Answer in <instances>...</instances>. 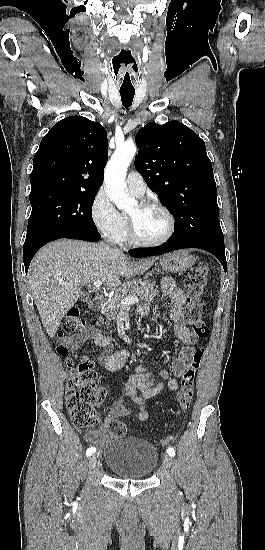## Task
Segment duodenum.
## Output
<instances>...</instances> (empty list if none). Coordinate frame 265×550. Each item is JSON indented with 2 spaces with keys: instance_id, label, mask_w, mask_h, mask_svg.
Masks as SVG:
<instances>
[{
  "instance_id": "obj_1",
  "label": "duodenum",
  "mask_w": 265,
  "mask_h": 550,
  "mask_svg": "<svg viewBox=\"0 0 265 550\" xmlns=\"http://www.w3.org/2000/svg\"><path fill=\"white\" fill-rule=\"evenodd\" d=\"M103 303H104V298L102 296H94L89 301V309L91 311H99L102 308Z\"/></svg>"
}]
</instances>
